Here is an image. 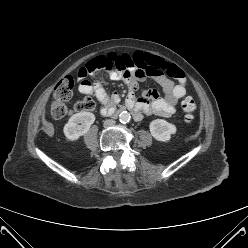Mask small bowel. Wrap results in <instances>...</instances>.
<instances>
[{"label":"small bowel","instance_id":"small-bowel-1","mask_svg":"<svg viewBox=\"0 0 248 248\" xmlns=\"http://www.w3.org/2000/svg\"><path fill=\"white\" fill-rule=\"evenodd\" d=\"M123 55L130 63L128 73L112 71L108 74L111 80H124L129 92L126 102L130 103L134 118L140 120L145 115L169 117L176 112L178 100L186 94V79L182 70L173 64L145 52L115 53ZM86 68L80 70L78 91L81 94L95 97L101 105L100 113L109 114L120 101L118 93L109 95L101 80L91 83L85 78ZM151 78L161 85L164 96L160 97L154 89L139 92V82ZM171 78H175L174 82Z\"/></svg>","mask_w":248,"mask_h":248}]
</instances>
